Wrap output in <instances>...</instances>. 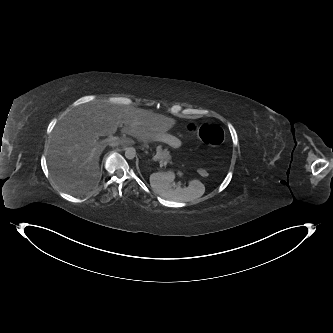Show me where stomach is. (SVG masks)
I'll return each instance as SVG.
<instances>
[{"label": "stomach", "instance_id": "0dacf381", "mask_svg": "<svg viewBox=\"0 0 333 333\" xmlns=\"http://www.w3.org/2000/svg\"><path fill=\"white\" fill-rule=\"evenodd\" d=\"M163 139H164L163 141H169V140H171V139L175 140V141L177 142V145H176L172 140L169 142L173 148H175L176 146H179V145H180V142L177 141L176 138L172 137V136L169 135V134H166V133H165V134L163 135Z\"/></svg>", "mask_w": 333, "mask_h": 333}]
</instances>
